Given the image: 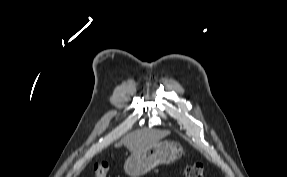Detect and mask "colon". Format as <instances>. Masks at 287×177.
I'll return each instance as SVG.
<instances>
[{"label":"colon","instance_id":"colon-1","mask_svg":"<svg viewBox=\"0 0 287 177\" xmlns=\"http://www.w3.org/2000/svg\"><path fill=\"white\" fill-rule=\"evenodd\" d=\"M111 165L107 161H100L94 165V177H108ZM205 170L202 163H195L186 168V177H204Z\"/></svg>","mask_w":287,"mask_h":177}]
</instances>
